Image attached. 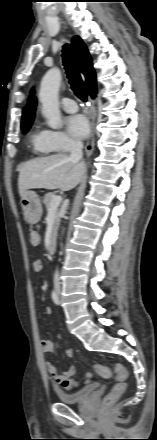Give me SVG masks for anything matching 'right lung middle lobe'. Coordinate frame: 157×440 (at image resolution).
Instances as JSON below:
<instances>
[{
	"instance_id": "dd1d6c3e",
	"label": "right lung middle lobe",
	"mask_w": 157,
	"mask_h": 440,
	"mask_svg": "<svg viewBox=\"0 0 157 440\" xmlns=\"http://www.w3.org/2000/svg\"><path fill=\"white\" fill-rule=\"evenodd\" d=\"M30 126H31V123H23V124H22V130H23L24 132H27L28 129L30 128Z\"/></svg>"
}]
</instances>
